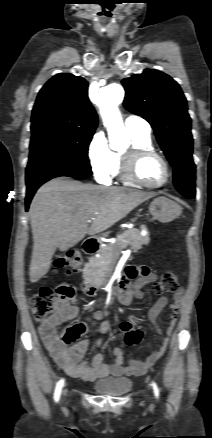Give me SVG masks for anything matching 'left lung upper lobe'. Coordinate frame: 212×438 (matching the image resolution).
<instances>
[{
    "instance_id": "1",
    "label": "left lung upper lobe",
    "mask_w": 212,
    "mask_h": 438,
    "mask_svg": "<svg viewBox=\"0 0 212 438\" xmlns=\"http://www.w3.org/2000/svg\"><path fill=\"white\" fill-rule=\"evenodd\" d=\"M122 84L126 90L125 108L151 124L171 165L192 155L191 118L178 83L161 71L145 69L142 74L123 79Z\"/></svg>"
}]
</instances>
